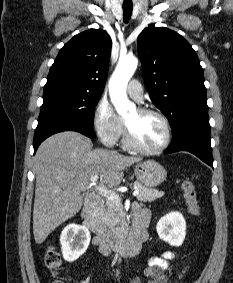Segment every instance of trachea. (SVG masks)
Wrapping results in <instances>:
<instances>
[{"label":"trachea","instance_id":"trachea-1","mask_svg":"<svg viewBox=\"0 0 233 283\" xmlns=\"http://www.w3.org/2000/svg\"><path fill=\"white\" fill-rule=\"evenodd\" d=\"M132 15V6H123L124 22L128 23Z\"/></svg>","mask_w":233,"mask_h":283}]
</instances>
